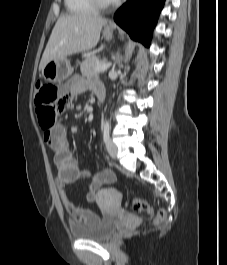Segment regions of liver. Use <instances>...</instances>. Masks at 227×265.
Segmentation results:
<instances>
[{
    "label": "liver",
    "instance_id": "liver-1",
    "mask_svg": "<svg viewBox=\"0 0 227 265\" xmlns=\"http://www.w3.org/2000/svg\"><path fill=\"white\" fill-rule=\"evenodd\" d=\"M107 19L91 14L61 15L50 35L42 55L39 70L52 60H62L68 55L94 48Z\"/></svg>",
    "mask_w": 227,
    "mask_h": 265
}]
</instances>
